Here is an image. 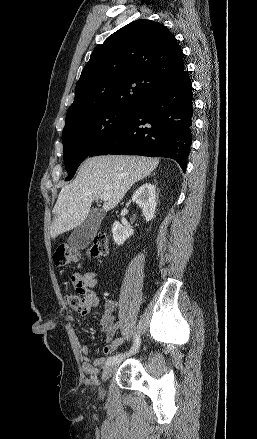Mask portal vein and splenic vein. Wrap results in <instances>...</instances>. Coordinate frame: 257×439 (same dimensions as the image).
<instances>
[{"label": "portal vein and splenic vein", "mask_w": 257, "mask_h": 439, "mask_svg": "<svg viewBox=\"0 0 257 439\" xmlns=\"http://www.w3.org/2000/svg\"><path fill=\"white\" fill-rule=\"evenodd\" d=\"M101 200L108 201L110 199V195L107 193H103L100 195Z\"/></svg>", "instance_id": "portal-vein-and-splenic-vein-1"}]
</instances>
